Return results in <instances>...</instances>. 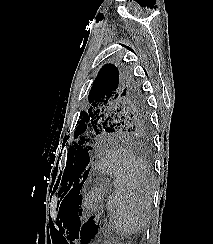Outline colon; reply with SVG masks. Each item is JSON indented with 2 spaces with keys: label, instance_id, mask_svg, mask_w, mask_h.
Returning <instances> with one entry per match:
<instances>
[{
  "label": "colon",
  "instance_id": "5ec220e1",
  "mask_svg": "<svg viewBox=\"0 0 213 244\" xmlns=\"http://www.w3.org/2000/svg\"><path fill=\"white\" fill-rule=\"evenodd\" d=\"M99 111H100V110H99ZM104 112H105V111H104V110H102V113H103V114H104Z\"/></svg>",
  "mask_w": 213,
  "mask_h": 244
}]
</instances>
